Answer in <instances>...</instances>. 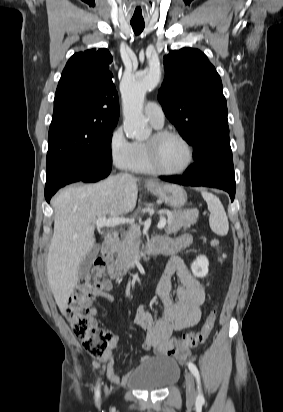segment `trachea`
Listing matches in <instances>:
<instances>
[{"label": "trachea", "mask_w": 283, "mask_h": 412, "mask_svg": "<svg viewBox=\"0 0 283 412\" xmlns=\"http://www.w3.org/2000/svg\"><path fill=\"white\" fill-rule=\"evenodd\" d=\"M131 26L133 28L134 33L136 35H139L143 31L145 24L144 23H131Z\"/></svg>", "instance_id": "obj_1"}]
</instances>
